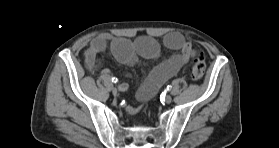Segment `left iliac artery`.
Wrapping results in <instances>:
<instances>
[{"label": "left iliac artery", "mask_w": 279, "mask_h": 148, "mask_svg": "<svg viewBox=\"0 0 279 148\" xmlns=\"http://www.w3.org/2000/svg\"><path fill=\"white\" fill-rule=\"evenodd\" d=\"M172 89V86L171 85H168L166 90L170 91Z\"/></svg>", "instance_id": "obj_1"}]
</instances>
